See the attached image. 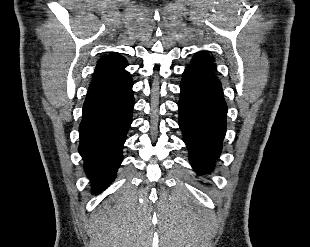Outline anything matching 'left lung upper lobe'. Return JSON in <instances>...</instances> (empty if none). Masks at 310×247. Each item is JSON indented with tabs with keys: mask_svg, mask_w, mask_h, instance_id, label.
<instances>
[{
	"mask_svg": "<svg viewBox=\"0 0 310 247\" xmlns=\"http://www.w3.org/2000/svg\"><path fill=\"white\" fill-rule=\"evenodd\" d=\"M193 63L188 65L190 67H195V68H203L209 71H216V65L214 63L213 57L208 56L207 54L203 52H198L194 57H193Z\"/></svg>",
	"mask_w": 310,
	"mask_h": 247,
	"instance_id": "5c2ea615",
	"label": "left lung upper lobe"
}]
</instances>
